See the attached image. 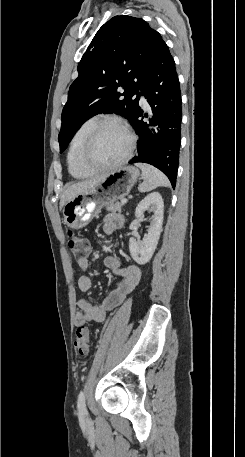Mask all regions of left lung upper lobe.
Segmentation results:
<instances>
[{
  "label": "left lung upper lobe",
  "mask_w": 245,
  "mask_h": 457,
  "mask_svg": "<svg viewBox=\"0 0 245 457\" xmlns=\"http://www.w3.org/2000/svg\"><path fill=\"white\" fill-rule=\"evenodd\" d=\"M160 39L146 21L127 15L113 17L98 30L78 65L79 76L62 111L60 152L96 114L116 113L132 120L139 108L140 85ZM119 87L124 93L117 91Z\"/></svg>",
  "instance_id": "obj_1"
}]
</instances>
